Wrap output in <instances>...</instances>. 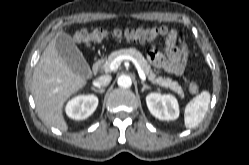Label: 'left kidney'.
<instances>
[{
  "instance_id": "left-kidney-1",
  "label": "left kidney",
  "mask_w": 249,
  "mask_h": 165,
  "mask_svg": "<svg viewBox=\"0 0 249 165\" xmlns=\"http://www.w3.org/2000/svg\"><path fill=\"white\" fill-rule=\"evenodd\" d=\"M150 113L160 120H175L179 117L177 99L171 94L150 93L146 96Z\"/></svg>"
}]
</instances>
